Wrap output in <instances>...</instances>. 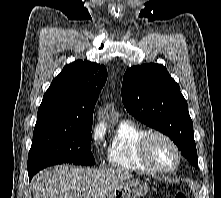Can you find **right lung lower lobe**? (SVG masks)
<instances>
[{
	"label": "right lung lower lobe",
	"instance_id": "obj_1",
	"mask_svg": "<svg viewBox=\"0 0 221 198\" xmlns=\"http://www.w3.org/2000/svg\"><path fill=\"white\" fill-rule=\"evenodd\" d=\"M32 177H33V176H29V180H31Z\"/></svg>",
	"mask_w": 221,
	"mask_h": 198
}]
</instances>
